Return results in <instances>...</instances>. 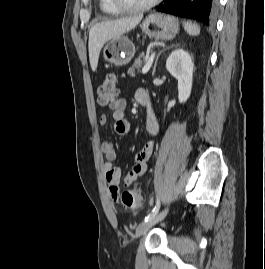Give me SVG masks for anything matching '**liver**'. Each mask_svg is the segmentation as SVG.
<instances>
[{"mask_svg":"<svg viewBox=\"0 0 265 269\" xmlns=\"http://www.w3.org/2000/svg\"><path fill=\"white\" fill-rule=\"evenodd\" d=\"M142 18L143 15L140 14L111 21H102L91 27L89 31L88 50L89 61L93 71L97 68L99 54L104 44L134 29Z\"/></svg>","mask_w":265,"mask_h":269,"instance_id":"1","label":"liver"}]
</instances>
